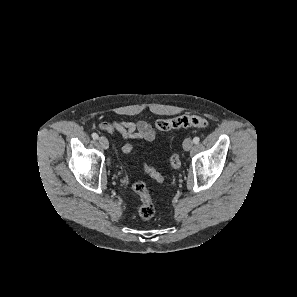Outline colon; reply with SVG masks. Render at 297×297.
I'll return each instance as SVG.
<instances>
[{
    "instance_id": "5ec220e1",
    "label": "colon",
    "mask_w": 297,
    "mask_h": 297,
    "mask_svg": "<svg viewBox=\"0 0 297 297\" xmlns=\"http://www.w3.org/2000/svg\"><path fill=\"white\" fill-rule=\"evenodd\" d=\"M207 126H208V122L206 119L197 115H189V114L171 117L167 119H160L156 123L157 130L161 132L169 131L172 129L188 128V127L204 129ZM132 149H133L132 145L126 144L121 148V153L127 154L131 152ZM169 163L172 168H175V169L179 168L180 166L179 156L176 154L171 155L169 158ZM145 171L157 182L164 181V177L155 169L145 166ZM132 189L140 196V199H141V205L138 209V214L140 218L143 220H148L152 218L155 213V208L146 185L141 181H137L132 184Z\"/></svg>"
}]
</instances>
